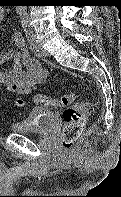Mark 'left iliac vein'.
I'll return each instance as SVG.
<instances>
[{"label": "left iliac vein", "mask_w": 121, "mask_h": 197, "mask_svg": "<svg viewBox=\"0 0 121 197\" xmlns=\"http://www.w3.org/2000/svg\"><path fill=\"white\" fill-rule=\"evenodd\" d=\"M34 50L37 53V55L40 56V57H46L47 56L46 50H44V48L41 46V44L38 42V40L36 38H35Z\"/></svg>", "instance_id": "4c4485c4"}]
</instances>
